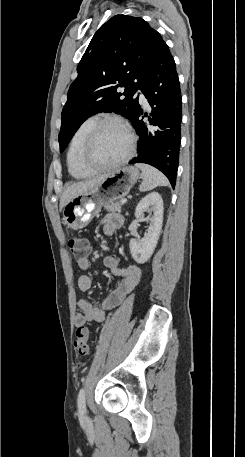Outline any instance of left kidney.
Listing matches in <instances>:
<instances>
[{
  "label": "left kidney",
  "mask_w": 245,
  "mask_h": 457,
  "mask_svg": "<svg viewBox=\"0 0 245 457\" xmlns=\"http://www.w3.org/2000/svg\"><path fill=\"white\" fill-rule=\"evenodd\" d=\"M144 212H153L144 218ZM135 216L142 220H149L150 226L147 235L143 239H130V253L136 263H147L152 257L160 237L163 222V198L159 192H149L139 200Z\"/></svg>",
  "instance_id": "5707ae66"
}]
</instances>
